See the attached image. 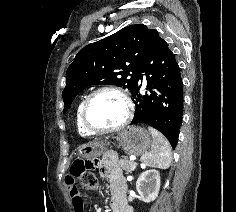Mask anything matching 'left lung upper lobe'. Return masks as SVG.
I'll use <instances>...</instances> for the list:
<instances>
[{
	"instance_id": "obj_1",
	"label": "left lung upper lobe",
	"mask_w": 236,
	"mask_h": 212,
	"mask_svg": "<svg viewBox=\"0 0 236 212\" xmlns=\"http://www.w3.org/2000/svg\"><path fill=\"white\" fill-rule=\"evenodd\" d=\"M151 32L144 24L130 25L81 49L66 72L63 112L90 85H118L133 93Z\"/></svg>"
}]
</instances>
